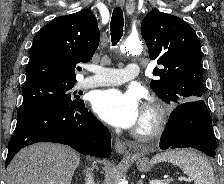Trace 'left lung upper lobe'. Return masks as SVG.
Masks as SVG:
<instances>
[{"instance_id":"obj_1","label":"left lung upper lobe","mask_w":224,"mask_h":184,"mask_svg":"<svg viewBox=\"0 0 224 184\" xmlns=\"http://www.w3.org/2000/svg\"><path fill=\"white\" fill-rule=\"evenodd\" d=\"M141 34L150 59L160 65L153 70L158 79L150 83L156 95L173 105L202 99L201 45L194 29L176 16L153 10L144 17Z\"/></svg>"}]
</instances>
